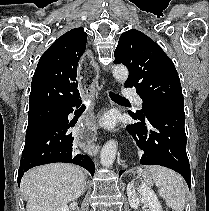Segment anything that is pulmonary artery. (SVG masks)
I'll use <instances>...</instances> for the list:
<instances>
[{
	"label": "pulmonary artery",
	"mask_w": 209,
	"mask_h": 211,
	"mask_svg": "<svg viewBox=\"0 0 209 211\" xmlns=\"http://www.w3.org/2000/svg\"><path fill=\"white\" fill-rule=\"evenodd\" d=\"M122 96L126 99L134 100L139 106H141L143 103L137 92L131 88H125L122 92Z\"/></svg>",
	"instance_id": "e3ab8cb5"
}]
</instances>
